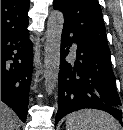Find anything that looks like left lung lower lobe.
I'll use <instances>...</instances> for the list:
<instances>
[{
	"mask_svg": "<svg viewBox=\"0 0 123 130\" xmlns=\"http://www.w3.org/2000/svg\"><path fill=\"white\" fill-rule=\"evenodd\" d=\"M63 27L55 123L65 115L84 108L106 111L122 123V107L112 71L110 51L84 42ZM72 43L77 44L76 61L68 63Z\"/></svg>",
	"mask_w": 123,
	"mask_h": 130,
	"instance_id": "left-lung-lower-lobe-1",
	"label": "left lung lower lobe"
}]
</instances>
